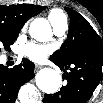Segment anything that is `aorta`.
<instances>
[{
    "instance_id": "1",
    "label": "aorta",
    "mask_w": 103,
    "mask_h": 103,
    "mask_svg": "<svg viewBox=\"0 0 103 103\" xmlns=\"http://www.w3.org/2000/svg\"><path fill=\"white\" fill-rule=\"evenodd\" d=\"M31 37L38 41H46L51 35V27L46 19H35L29 28ZM61 84V77L54 69H42L36 75V85L47 94L57 92Z\"/></svg>"
}]
</instances>
